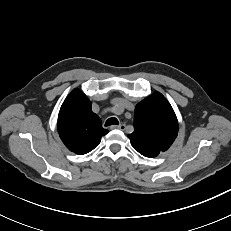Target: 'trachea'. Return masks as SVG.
Returning <instances> with one entry per match:
<instances>
[{
	"instance_id": "3493384b",
	"label": "trachea",
	"mask_w": 231,
	"mask_h": 231,
	"mask_svg": "<svg viewBox=\"0 0 231 231\" xmlns=\"http://www.w3.org/2000/svg\"><path fill=\"white\" fill-rule=\"evenodd\" d=\"M119 122L115 117L109 118L106 123L105 126H111V125H118Z\"/></svg>"
}]
</instances>
